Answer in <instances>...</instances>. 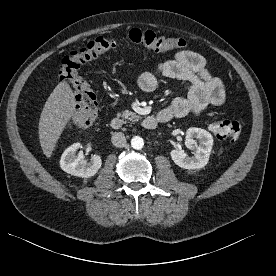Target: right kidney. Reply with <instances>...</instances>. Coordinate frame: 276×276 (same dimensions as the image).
Returning <instances> with one entry per match:
<instances>
[{
    "label": "right kidney",
    "instance_id": "right-kidney-1",
    "mask_svg": "<svg viewBox=\"0 0 276 276\" xmlns=\"http://www.w3.org/2000/svg\"><path fill=\"white\" fill-rule=\"evenodd\" d=\"M82 148L80 143H74L69 146L61 156L60 167L63 171L82 178H89L95 175L101 168L102 160L98 155H93L88 162L80 152L76 155L78 149Z\"/></svg>",
    "mask_w": 276,
    "mask_h": 276
}]
</instances>
